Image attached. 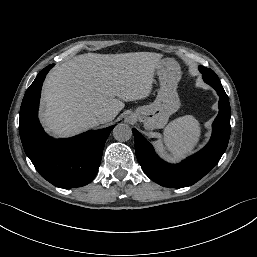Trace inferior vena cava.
I'll return each instance as SVG.
<instances>
[{
	"label": "inferior vena cava",
	"mask_w": 257,
	"mask_h": 257,
	"mask_svg": "<svg viewBox=\"0 0 257 257\" xmlns=\"http://www.w3.org/2000/svg\"><path fill=\"white\" fill-rule=\"evenodd\" d=\"M113 118L112 113H101L97 116L98 123H105Z\"/></svg>",
	"instance_id": "inferior-vena-cava-1"
}]
</instances>
